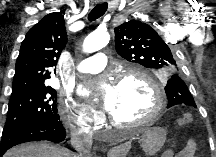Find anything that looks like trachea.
I'll list each match as a JSON object with an SVG mask.
<instances>
[{
	"instance_id": "1",
	"label": "trachea",
	"mask_w": 216,
	"mask_h": 157,
	"mask_svg": "<svg viewBox=\"0 0 216 157\" xmlns=\"http://www.w3.org/2000/svg\"><path fill=\"white\" fill-rule=\"evenodd\" d=\"M107 8H108L107 2L97 4L89 13L88 20L94 21V20L100 18L106 12Z\"/></svg>"
}]
</instances>
